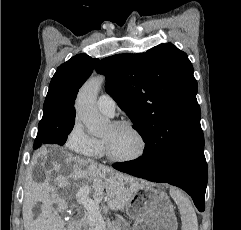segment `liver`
Instances as JSON below:
<instances>
[{"label":"liver","mask_w":241,"mask_h":230,"mask_svg":"<svg viewBox=\"0 0 241 230\" xmlns=\"http://www.w3.org/2000/svg\"><path fill=\"white\" fill-rule=\"evenodd\" d=\"M48 153L47 149H42L33 156L32 166L39 165L44 170L43 182H35L32 175H29L25 182L22 207L25 230H67L65 222L53 206L57 204L62 208L67 207L65 201L57 194V188L66 191H71L72 187H79V191L89 188L93 190L95 200L103 196L105 189L109 208L118 211L127 205L140 183L133 177L114 172L109 167L71 153H64L58 160H48ZM38 158L42 160L40 164ZM53 175H56L54 185L50 183ZM37 202L42 203L41 212L34 219L32 209Z\"/></svg>","instance_id":"obj_1"}]
</instances>
